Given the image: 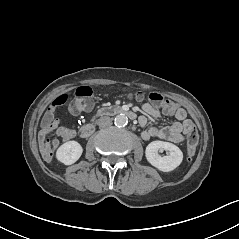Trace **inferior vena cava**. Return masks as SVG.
<instances>
[{"instance_id":"602c4592","label":"inferior vena cava","mask_w":239,"mask_h":239,"mask_svg":"<svg viewBox=\"0 0 239 239\" xmlns=\"http://www.w3.org/2000/svg\"><path fill=\"white\" fill-rule=\"evenodd\" d=\"M111 123H112V120L108 116H103V117L99 118L97 121L98 126L102 127V128L110 126Z\"/></svg>"}]
</instances>
